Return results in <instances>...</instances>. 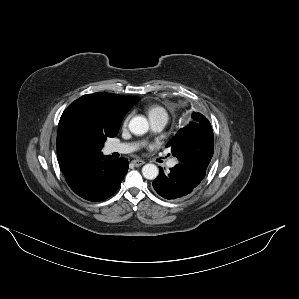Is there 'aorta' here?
Here are the masks:
<instances>
[{
	"label": "aorta",
	"mask_w": 299,
	"mask_h": 299,
	"mask_svg": "<svg viewBox=\"0 0 299 299\" xmlns=\"http://www.w3.org/2000/svg\"><path fill=\"white\" fill-rule=\"evenodd\" d=\"M149 129V123L143 116H135L129 122V130L134 135H143ZM143 176L148 180L155 179L159 174V169L154 164H146L142 168Z\"/></svg>",
	"instance_id": "1"
}]
</instances>
